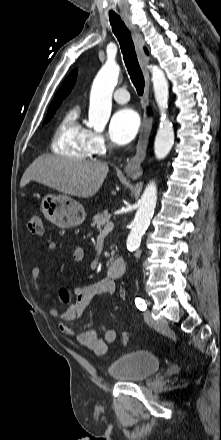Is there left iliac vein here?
<instances>
[{"label": "left iliac vein", "instance_id": "obj_1", "mask_svg": "<svg viewBox=\"0 0 221 440\" xmlns=\"http://www.w3.org/2000/svg\"><path fill=\"white\" fill-rule=\"evenodd\" d=\"M144 318L147 324L154 328H165L167 326V321L165 318L161 317L155 319L150 311H146L144 313Z\"/></svg>", "mask_w": 221, "mask_h": 440}]
</instances>
